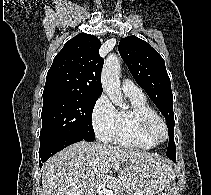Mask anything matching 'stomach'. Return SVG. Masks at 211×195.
Returning <instances> with one entry per match:
<instances>
[{"instance_id":"0dacf381","label":"stomach","mask_w":211,"mask_h":195,"mask_svg":"<svg viewBox=\"0 0 211 195\" xmlns=\"http://www.w3.org/2000/svg\"><path fill=\"white\" fill-rule=\"evenodd\" d=\"M129 195H138V194H134V193H131ZM160 195H174L172 190H165L164 192H162Z\"/></svg>"}]
</instances>
